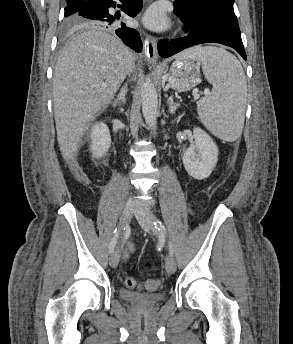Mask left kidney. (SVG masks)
<instances>
[{
    "label": "left kidney",
    "instance_id": "1",
    "mask_svg": "<svg viewBox=\"0 0 293 344\" xmlns=\"http://www.w3.org/2000/svg\"><path fill=\"white\" fill-rule=\"evenodd\" d=\"M194 144L183 155L187 173L194 179L203 180L210 176L218 161V147L201 128L193 129Z\"/></svg>",
    "mask_w": 293,
    "mask_h": 344
}]
</instances>
